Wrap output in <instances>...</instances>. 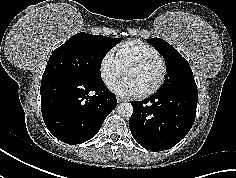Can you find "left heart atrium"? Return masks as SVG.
Masks as SVG:
<instances>
[{
    "label": "left heart atrium",
    "mask_w": 236,
    "mask_h": 178,
    "mask_svg": "<svg viewBox=\"0 0 236 178\" xmlns=\"http://www.w3.org/2000/svg\"><path fill=\"white\" fill-rule=\"evenodd\" d=\"M111 89L113 92L121 96H134L139 94L138 89L127 78H124L123 80L114 84Z\"/></svg>",
    "instance_id": "obj_1"
}]
</instances>
